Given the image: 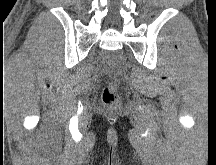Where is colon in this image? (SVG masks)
<instances>
[{
	"mask_svg": "<svg viewBox=\"0 0 216 165\" xmlns=\"http://www.w3.org/2000/svg\"><path fill=\"white\" fill-rule=\"evenodd\" d=\"M118 85L113 83L109 86H106L102 93L103 104L110 107H115L118 103Z\"/></svg>",
	"mask_w": 216,
	"mask_h": 165,
	"instance_id": "obj_1",
	"label": "colon"
}]
</instances>
